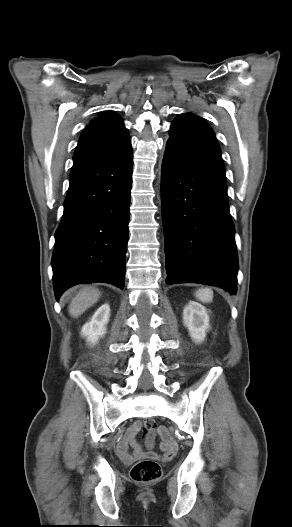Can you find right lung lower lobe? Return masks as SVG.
<instances>
[{"label": "right lung lower lobe", "mask_w": 292, "mask_h": 527, "mask_svg": "<svg viewBox=\"0 0 292 527\" xmlns=\"http://www.w3.org/2000/svg\"><path fill=\"white\" fill-rule=\"evenodd\" d=\"M132 171L131 145L109 154L73 158L52 256L57 300L80 283L106 282L124 288Z\"/></svg>", "instance_id": "1"}]
</instances>
